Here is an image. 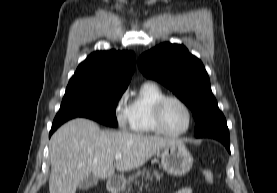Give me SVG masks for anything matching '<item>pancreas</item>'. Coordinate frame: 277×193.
Segmentation results:
<instances>
[{"instance_id": "obj_1", "label": "pancreas", "mask_w": 277, "mask_h": 193, "mask_svg": "<svg viewBox=\"0 0 277 193\" xmlns=\"http://www.w3.org/2000/svg\"><path fill=\"white\" fill-rule=\"evenodd\" d=\"M141 177L142 180H149L151 182H153V180L155 179L156 181H160V178L162 177V175L158 172V170H151V169H138L136 173L132 174L131 176H129L128 180H127V188L125 189L126 193L127 190L131 189V184L134 182L135 184L137 183V179Z\"/></svg>"}]
</instances>
